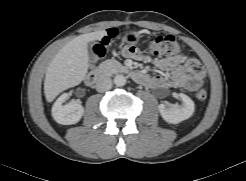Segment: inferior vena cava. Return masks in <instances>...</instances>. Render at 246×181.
<instances>
[{"label": "inferior vena cava", "mask_w": 246, "mask_h": 181, "mask_svg": "<svg viewBox=\"0 0 246 181\" xmlns=\"http://www.w3.org/2000/svg\"><path fill=\"white\" fill-rule=\"evenodd\" d=\"M95 87L98 92H105L112 88V80L110 77L101 76L97 79Z\"/></svg>", "instance_id": "602c4592"}]
</instances>
